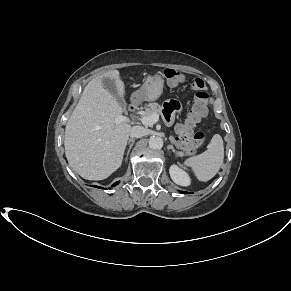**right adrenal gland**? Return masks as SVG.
<instances>
[{
    "label": "right adrenal gland",
    "mask_w": 291,
    "mask_h": 291,
    "mask_svg": "<svg viewBox=\"0 0 291 291\" xmlns=\"http://www.w3.org/2000/svg\"><path fill=\"white\" fill-rule=\"evenodd\" d=\"M134 142H135V140L132 139V138H130V139L128 140V145H130V146H129V150H128V152H127V156H128V154H129V152H130V150H131V148H132ZM126 160H127V158H126Z\"/></svg>",
    "instance_id": "obj_1"
}]
</instances>
